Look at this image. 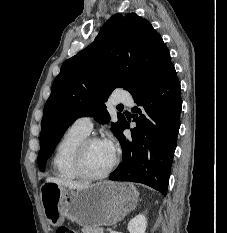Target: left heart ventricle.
<instances>
[{
    "label": "left heart ventricle",
    "instance_id": "1",
    "mask_svg": "<svg viewBox=\"0 0 227 233\" xmlns=\"http://www.w3.org/2000/svg\"><path fill=\"white\" fill-rule=\"evenodd\" d=\"M114 153L101 141L92 143L86 152L85 165L89 172L105 171L113 160Z\"/></svg>",
    "mask_w": 227,
    "mask_h": 233
}]
</instances>
